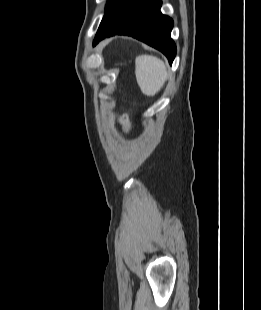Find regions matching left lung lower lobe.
<instances>
[{
    "label": "left lung lower lobe",
    "instance_id": "0a47b994",
    "mask_svg": "<svg viewBox=\"0 0 261 310\" xmlns=\"http://www.w3.org/2000/svg\"><path fill=\"white\" fill-rule=\"evenodd\" d=\"M160 7L161 0H122L111 21L100 25L94 45L115 34L129 35L163 52L171 64L176 55L173 20Z\"/></svg>",
    "mask_w": 261,
    "mask_h": 310
}]
</instances>
